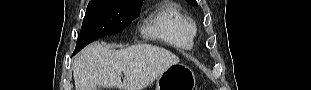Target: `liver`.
Instances as JSON below:
<instances>
[{"label":"liver","mask_w":311,"mask_h":90,"mask_svg":"<svg viewBox=\"0 0 311 90\" xmlns=\"http://www.w3.org/2000/svg\"><path fill=\"white\" fill-rule=\"evenodd\" d=\"M178 62L179 58L172 52L150 44L110 50L95 43L87 46L75 57L74 84L76 90H96L98 86L143 90L167 68Z\"/></svg>","instance_id":"1"}]
</instances>
